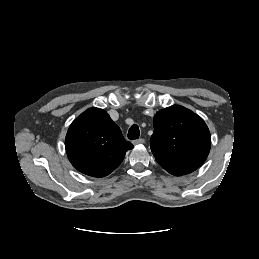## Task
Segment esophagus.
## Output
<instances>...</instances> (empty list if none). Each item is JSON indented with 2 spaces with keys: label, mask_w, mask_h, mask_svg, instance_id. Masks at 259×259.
<instances>
[{
  "label": "esophagus",
  "mask_w": 259,
  "mask_h": 259,
  "mask_svg": "<svg viewBox=\"0 0 259 259\" xmlns=\"http://www.w3.org/2000/svg\"><path fill=\"white\" fill-rule=\"evenodd\" d=\"M145 142V140L143 138L137 139L133 141L134 145H140L143 144Z\"/></svg>",
  "instance_id": "34e87169"
}]
</instances>
